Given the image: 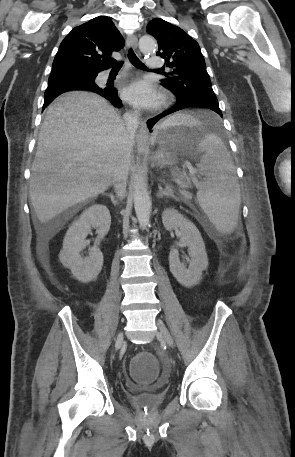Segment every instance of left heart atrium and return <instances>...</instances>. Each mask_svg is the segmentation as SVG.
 Instances as JSON below:
<instances>
[{
	"instance_id": "left-heart-atrium-1",
	"label": "left heart atrium",
	"mask_w": 295,
	"mask_h": 457,
	"mask_svg": "<svg viewBox=\"0 0 295 457\" xmlns=\"http://www.w3.org/2000/svg\"><path fill=\"white\" fill-rule=\"evenodd\" d=\"M123 97L134 107L142 109L154 108L162 99L157 87L144 79H139L129 84L123 91Z\"/></svg>"
}]
</instances>
